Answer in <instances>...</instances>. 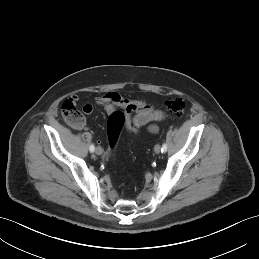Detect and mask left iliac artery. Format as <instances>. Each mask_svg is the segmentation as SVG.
I'll return each mask as SVG.
<instances>
[{
	"label": "left iliac artery",
	"mask_w": 259,
	"mask_h": 259,
	"mask_svg": "<svg viewBox=\"0 0 259 259\" xmlns=\"http://www.w3.org/2000/svg\"><path fill=\"white\" fill-rule=\"evenodd\" d=\"M166 151H167V144L164 143V144L162 145L161 152H162V153H165Z\"/></svg>",
	"instance_id": "1"
}]
</instances>
